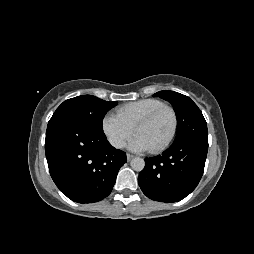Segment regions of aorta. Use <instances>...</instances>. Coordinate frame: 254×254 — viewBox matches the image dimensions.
Returning a JSON list of instances; mask_svg holds the SVG:
<instances>
[{"mask_svg":"<svg viewBox=\"0 0 254 254\" xmlns=\"http://www.w3.org/2000/svg\"><path fill=\"white\" fill-rule=\"evenodd\" d=\"M130 165L133 170L140 172L145 167V161L142 158L136 157L131 160Z\"/></svg>","mask_w":254,"mask_h":254,"instance_id":"762f6f07","label":"aorta"}]
</instances>
